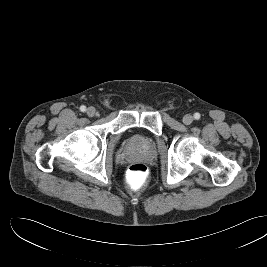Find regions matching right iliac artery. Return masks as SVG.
I'll return each instance as SVG.
<instances>
[{"instance_id": "82829eb1", "label": "right iliac artery", "mask_w": 267, "mask_h": 267, "mask_svg": "<svg viewBox=\"0 0 267 267\" xmlns=\"http://www.w3.org/2000/svg\"><path fill=\"white\" fill-rule=\"evenodd\" d=\"M80 111L85 112V111H86V107H85L84 105H82V106L80 107Z\"/></svg>"}]
</instances>
